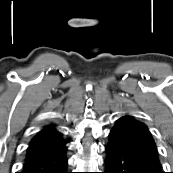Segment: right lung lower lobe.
Here are the masks:
<instances>
[{
  "mask_svg": "<svg viewBox=\"0 0 173 173\" xmlns=\"http://www.w3.org/2000/svg\"><path fill=\"white\" fill-rule=\"evenodd\" d=\"M65 143L26 154L21 173H69L67 172Z\"/></svg>",
  "mask_w": 173,
  "mask_h": 173,
  "instance_id": "1",
  "label": "right lung lower lobe"
}]
</instances>
